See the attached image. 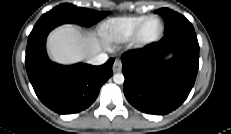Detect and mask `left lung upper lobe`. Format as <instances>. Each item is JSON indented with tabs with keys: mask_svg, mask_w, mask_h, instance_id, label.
<instances>
[{
	"mask_svg": "<svg viewBox=\"0 0 231 134\" xmlns=\"http://www.w3.org/2000/svg\"><path fill=\"white\" fill-rule=\"evenodd\" d=\"M156 13L160 14L165 20L164 35L183 29H194L192 24L183 15L168 8L158 9Z\"/></svg>",
	"mask_w": 231,
	"mask_h": 134,
	"instance_id": "obj_1",
	"label": "left lung upper lobe"
}]
</instances>
